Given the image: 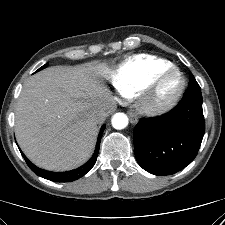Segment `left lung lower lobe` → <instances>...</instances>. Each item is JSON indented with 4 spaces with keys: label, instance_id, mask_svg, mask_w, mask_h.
Returning a JSON list of instances; mask_svg holds the SVG:
<instances>
[{
    "label": "left lung lower lobe",
    "instance_id": "0a47b994",
    "mask_svg": "<svg viewBox=\"0 0 225 225\" xmlns=\"http://www.w3.org/2000/svg\"><path fill=\"white\" fill-rule=\"evenodd\" d=\"M205 132L201 90L189 88L167 114L143 118L135 127L138 164L154 175L174 174L196 157Z\"/></svg>",
    "mask_w": 225,
    "mask_h": 225
}]
</instances>
